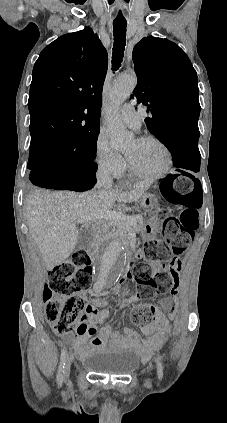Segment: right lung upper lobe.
Segmentation results:
<instances>
[{
	"mask_svg": "<svg viewBox=\"0 0 227 423\" xmlns=\"http://www.w3.org/2000/svg\"><path fill=\"white\" fill-rule=\"evenodd\" d=\"M106 72L107 51L89 27L44 48L28 101L31 154L68 148L99 132Z\"/></svg>",
	"mask_w": 227,
	"mask_h": 423,
	"instance_id": "cb5924a9",
	"label": "right lung upper lobe"
}]
</instances>
